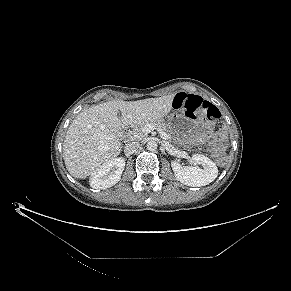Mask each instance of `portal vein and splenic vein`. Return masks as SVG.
<instances>
[{
    "mask_svg": "<svg viewBox=\"0 0 291 291\" xmlns=\"http://www.w3.org/2000/svg\"><path fill=\"white\" fill-rule=\"evenodd\" d=\"M154 130H157L160 134V136L163 138V139H169V135L166 133V132H163L162 130L156 128L154 125H151V124H147L144 128H143V131L146 132V133H149L151 131H154ZM106 139H114V138H117V135L116 134H112V135H107L105 136Z\"/></svg>",
    "mask_w": 291,
    "mask_h": 291,
    "instance_id": "18ae733b",
    "label": "portal vein and splenic vein"
}]
</instances>
